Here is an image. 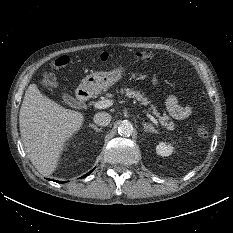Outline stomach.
Returning a JSON list of instances; mask_svg holds the SVG:
<instances>
[{
    "label": "stomach",
    "mask_w": 233,
    "mask_h": 233,
    "mask_svg": "<svg viewBox=\"0 0 233 233\" xmlns=\"http://www.w3.org/2000/svg\"><path fill=\"white\" fill-rule=\"evenodd\" d=\"M124 67L119 65L110 71L95 72L87 75L80 84V88L89 92L107 89L122 78Z\"/></svg>",
    "instance_id": "stomach-1"
}]
</instances>
